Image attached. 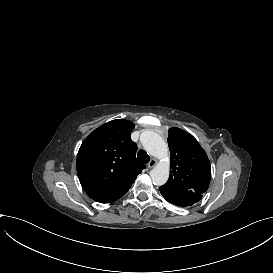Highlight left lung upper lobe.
<instances>
[{"instance_id":"1","label":"left lung upper lobe","mask_w":273,"mask_h":273,"mask_svg":"<svg viewBox=\"0 0 273 273\" xmlns=\"http://www.w3.org/2000/svg\"><path fill=\"white\" fill-rule=\"evenodd\" d=\"M167 140L171 152V170L168 181L161 187L169 191L206 192L211 167L200 144L191 134L175 127L169 129Z\"/></svg>"}]
</instances>
